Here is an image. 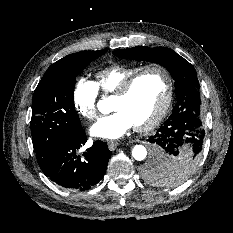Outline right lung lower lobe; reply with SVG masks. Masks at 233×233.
Listing matches in <instances>:
<instances>
[{
    "label": "right lung lower lobe",
    "mask_w": 233,
    "mask_h": 233,
    "mask_svg": "<svg viewBox=\"0 0 233 233\" xmlns=\"http://www.w3.org/2000/svg\"><path fill=\"white\" fill-rule=\"evenodd\" d=\"M86 141L83 128L68 135L41 168L45 175L69 189L84 191L96 185L105 174L112 152L105 142L98 140L81 157L77 151Z\"/></svg>",
    "instance_id": "98d812e1"
}]
</instances>
